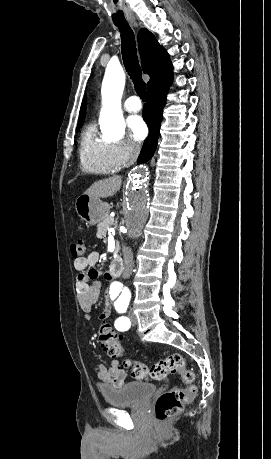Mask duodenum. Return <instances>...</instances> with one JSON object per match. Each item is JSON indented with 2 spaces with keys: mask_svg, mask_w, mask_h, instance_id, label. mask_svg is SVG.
Instances as JSON below:
<instances>
[{
  "mask_svg": "<svg viewBox=\"0 0 271 459\" xmlns=\"http://www.w3.org/2000/svg\"><path fill=\"white\" fill-rule=\"evenodd\" d=\"M124 265L121 259L116 258L111 264L110 274L112 278H118L123 273Z\"/></svg>",
  "mask_w": 271,
  "mask_h": 459,
  "instance_id": "obj_1",
  "label": "duodenum"
}]
</instances>
